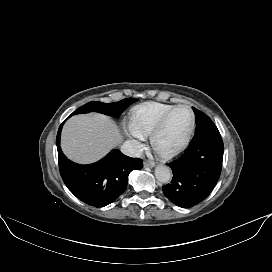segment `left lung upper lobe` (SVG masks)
Returning a JSON list of instances; mask_svg holds the SVG:
<instances>
[{"label":"left lung upper lobe","mask_w":272,"mask_h":272,"mask_svg":"<svg viewBox=\"0 0 272 272\" xmlns=\"http://www.w3.org/2000/svg\"><path fill=\"white\" fill-rule=\"evenodd\" d=\"M193 110L196 119V132L193 138L199 137L204 133L217 128L215 124L212 122V120L206 114L195 108H193Z\"/></svg>","instance_id":"5c2ea615"}]
</instances>
